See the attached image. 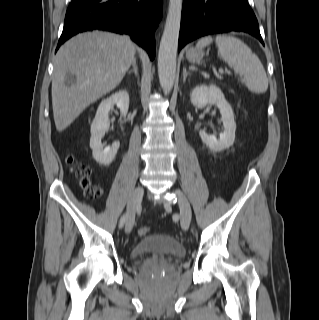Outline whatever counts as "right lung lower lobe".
Wrapping results in <instances>:
<instances>
[{
  "label": "right lung lower lobe",
  "mask_w": 319,
  "mask_h": 320,
  "mask_svg": "<svg viewBox=\"0 0 319 320\" xmlns=\"http://www.w3.org/2000/svg\"><path fill=\"white\" fill-rule=\"evenodd\" d=\"M162 8V0H72L57 49L79 32L100 29L129 34L152 59Z\"/></svg>",
  "instance_id": "right-lung-lower-lobe-1"
}]
</instances>
